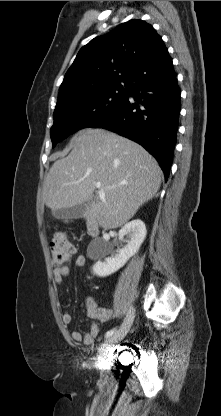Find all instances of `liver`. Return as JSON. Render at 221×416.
I'll list each match as a JSON object with an SVG mask.
<instances>
[{
  "mask_svg": "<svg viewBox=\"0 0 221 416\" xmlns=\"http://www.w3.org/2000/svg\"><path fill=\"white\" fill-rule=\"evenodd\" d=\"M72 142L70 154L54 162L44 181L43 201L51 210L90 201L83 217L114 229L158 192L161 168L136 142L100 128L81 130ZM98 182L103 193L94 196Z\"/></svg>",
  "mask_w": 221,
  "mask_h": 416,
  "instance_id": "6515ba94",
  "label": "liver"
}]
</instances>
